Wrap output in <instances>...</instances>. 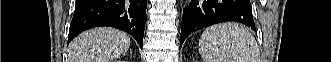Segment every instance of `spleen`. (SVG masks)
Wrapping results in <instances>:
<instances>
[{"label":"spleen","mask_w":331,"mask_h":62,"mask_svg":"<svg viewBox=\"0 0 331 62\" xmlns=\"http://www.w3.org/2000/svg\"><path fill=\"white\" fill-rule=\"evenodd\" d=\"M205 62H257L258 48L252 34L236 23L207 28L199 40Z\"/></svg>","instance_id":"obj_1"}]
</instances>
